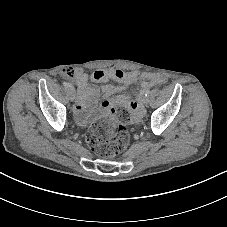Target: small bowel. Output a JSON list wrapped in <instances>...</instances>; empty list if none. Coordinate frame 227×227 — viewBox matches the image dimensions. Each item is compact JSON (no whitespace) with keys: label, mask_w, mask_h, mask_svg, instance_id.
Wrapping results in <instances>:
<instances>
[{"label":"small bowel","mask_w":227,"mask_h":227,"mask_svg":"<svg viewBox=\"0 0 227 227\" xmlns=\"http://www.w3.org/2000/svg\"><path fill=\"white\" fill-rule=\"evenodd\" d=\"M139 77L138 72H124L116 68L100 69L92 72L90 76L85 74L82 70H76L73 76L78 86L79 97L74 107L75 118L79 124H86L89 116L88 111L93 103H95L99 97L100 89L94 85H88V79L95 82H106L108 80H114L123 84H131L135 82ZM164 82V78L159 75H150L144 79L139 88V94H143L144 91L156 84ZM106 96L113 94L116 90L112 86H105L102 89ZM116 104H127L134 113H139V105L130 100L129 97L120 95L114 99H105L102 102L104 109H110Z\"/></svg>","instance_id":"small-bowel-1"}]
</instances>
